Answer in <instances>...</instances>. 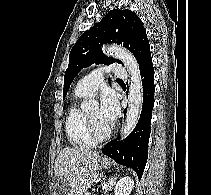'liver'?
Instances as JSON below:
<instances>
[{"label":"liver","instance_id":"liver-1","mask_svg":"<svg viewBox=\"0 0 211 195\" xmlns=\"http://www.w3.org/2000/svg\"><path fill=\"white\" fill-rule=\"evenodd\" d=\"M98 160V152L80 148L66 147L58 153L54 173L56 177L65 180L68 195H80L91 186ZM54 194L64 195V191L55 190Z\"/></svg>","mask_w":211,"mask_h":195}]
</instances>
